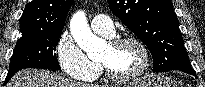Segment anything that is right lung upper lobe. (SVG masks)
I'll return each instance as SVG.
<instances>
[{"label": "right lung upper lobe", "instance_id": "1", "mask_svg": "<svg viewBox=\"0 0 205 87\" xmlns=\"http://www.w3.org/2000/svg\"><path fill=\"white\" fill-rule=\"evenodd\" d=\"M73 1L32 0L21 16V33L62 31Z\"/></svg>", "mask_w": 205, "mask_h": 87}]
</instances>
